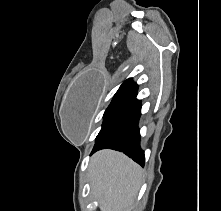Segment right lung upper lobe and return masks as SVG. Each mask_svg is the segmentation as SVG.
I'll use <instances>...</instances> for the list:
<instances>
[{
	"label": "right lung upper lobe",
	"instance_id": "cb5924a9",
	"mask_svg": "<svg viewBox=\"0 0 221 211\" xmlns=\"http://www.w3.org/2000/svg\"><path fill=\"white\" fill-rule=\"evenodd\" d=\"M138 85L132 81V79H128L123 82L118 91H135L137 92Z\"/></svg>",
	"mask_w": 221,
	"mask_h": 211
}]
</instances>
